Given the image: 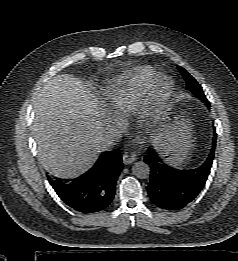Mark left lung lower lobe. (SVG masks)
<instances>
[{"label": "left lung lower lobe", "instance_id": "0a47b994", "mask_svg": "<svg viewBox=\"0 0 238 261\" xmlns=\"http://www.w3.org/2000/svg\"><path fill=\"white\" fill-rule=\"evenodd\" d=\"M208 107V100H205ZM214 132L211 151L199 167L180 170L163 164L154 149L149 148L144 161L150 167L148 195L153 203L165 210H180L203 189L214 159L216 147Z\"/></svg>", "mask_w": 238, "mask_h": 261}]
</instances>
